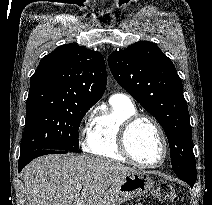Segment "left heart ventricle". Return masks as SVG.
<instances>
[{"instance_id": "b2bd125f", "label": "left heart ventricle", "mask_w": 212, "mask_h": 205, "mask_svg": "<svg viewBox=\"0 0 212 205\" xmlns=\"http://www.w3.org/2000/svg\"><path fill=\"white\" fill-rule=\"evenodd\" d=\"M128 144L133 156L141 162L155 163L162 157L160 136L154 126L146 120L134 125L129 134Z\"/></svg>"}]
</instances>
